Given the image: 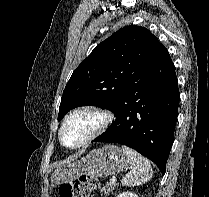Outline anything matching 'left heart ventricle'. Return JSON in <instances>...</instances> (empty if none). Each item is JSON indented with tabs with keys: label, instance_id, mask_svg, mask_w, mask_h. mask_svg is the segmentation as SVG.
<instances>
[{
	"label": "left heart ventricle",
	"instance_id": "1",
	"mask_svg": "<svg viewBox=\"0 0 209 197\" xmlns=\"http://www.w3.org/2000/svg\"><path fill=\"white\" fill-rule=\"evenodd\" d=\"M100 117L93 112H81L75 115L64 127L62 140L65 145L80 143L98 124Z\"/></svg>",
	"mask_w": 209,
	"mask_h": 197
}]
</instances>
